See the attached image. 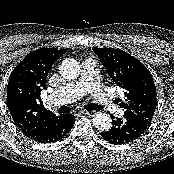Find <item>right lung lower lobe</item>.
Returning <instances> with one entry per match:
<instances>
[{
	"label": "right lung lower lobe",
	"mask_w": 174,
	"mask_h": 174,
	"mask_svg": "<svg viewBox=\"0 0 174 174\" xmlns=\"http://www.w3.org/2000/svg\"><path fill=\"white\" fill-rule=\"evenodd\" d=\"M74 119L69 115L68 120L56 125L55 128L47 134L34 138L37 142L47 143L61 140L70 131Z\"/></svg>",
	"instance_id": "1"
}]
</instances>
